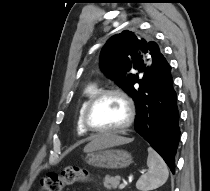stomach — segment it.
I'll list each match as a JSON object with an SVG mask.
<instances>
[{
  "instance_id": "1",
  "label": "stomach",
  "mask_w": 210,
  "mask_h": 191,
  "mask_svg": "<svg viewBox=\"0 0 210 191\" xmlns=\"http://www.w3.org/2000/svg\"><path fill=\"white\" fill-rule=\"evenodd\" d=\"M85 161L90 166L106 169L126 168L133 162L127 151L110 148L88 152Z\"/></svg>"
}]
</instances>
